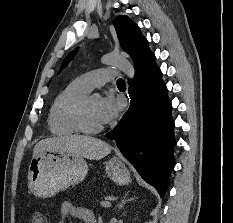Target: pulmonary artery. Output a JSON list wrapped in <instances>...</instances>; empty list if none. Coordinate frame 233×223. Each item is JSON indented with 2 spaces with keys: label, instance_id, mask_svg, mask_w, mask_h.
I'll use <instances>...</instances> for the list:
<instances>
[{
  "label": "pulmonary artery",
  "instance_id": "1",
  "mask_svg": "<svg viewBox=\"0 0 233 223\" xmlns=\"http://www.w3.org/2000/svg\"><path fill=\"white\" fill-rule=\"evenodd\" d=\"M113 75L114 79H121V74H118V70L98 69L82 74L78 77V80L90 92L94 88L103 86L112 80Z\"/></svg>",
  "mask_w": 233,
  "mask_h": 223
}]
</instances>
